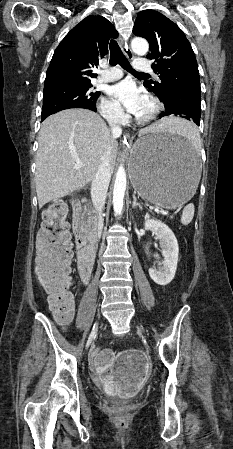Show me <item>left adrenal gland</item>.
Wrapping results in <instances>:
<instances>
[{
	"instance_id": "a2214340",
	"label": "left adrenal gland",
	"mask_w": 233,
	"mask_h": 449,
	"mask_svg": "<svg viewBox=\"0 0 233 449\" xmlns=\"http://www.w3.org/2000/svg\"><path fill=\"white\" fill-rule=\"evenodd\" d=\"M136 207H138L140 210L143 209L142 205L137 202V198H136L135 194H133L132 208L135 209Z\"/></svg>"
}]
</instances>
